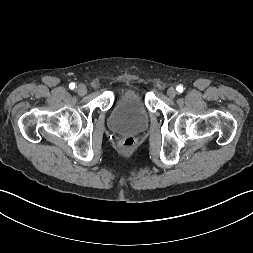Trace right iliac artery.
I'll list each match as a JSON object with an SVG mask.
<instances>
[{
	"label": "right iliac artery",
	"mask_w": 253,
	"mask_h": 253,
	"mask_svg": "<svg viewBox=\"0 0 253 253\" xmlns=\"http://www.w3.org/2000/svg\"><path fill=\"white\" fill-rule=\"evenodd\" d=\"M69 88H70V89H74V88H75V83H70V84H69Z\"/></svg>",
	"instance_id": "obj_1"
}]
</instances>
